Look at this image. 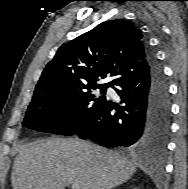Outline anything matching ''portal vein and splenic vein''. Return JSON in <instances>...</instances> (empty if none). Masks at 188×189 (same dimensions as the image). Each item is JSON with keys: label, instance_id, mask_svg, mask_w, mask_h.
Returning <instances> with one entry per match:
<instances>
[{"label": "portal vein and splenic vein", "instance_id": "portal-vein-and-splenic-vein-1", "mask_svg": "<svg viewBox=\"0 0 188 189\" xmlns=\"http://www.w3.org/2000/svg\"><path fill=\"white\" fill-rule=\"evenodd\" d=\"M72 189H80V186L78 184H72Z\"/></svg>", "mask_w": 188, "mask_h": 189}]
</instances>
